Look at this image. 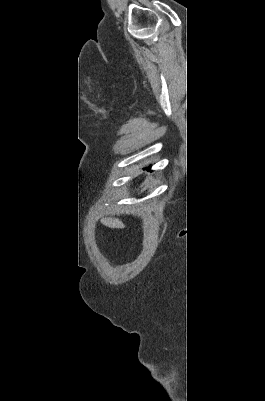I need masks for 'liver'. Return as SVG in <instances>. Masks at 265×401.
Segmentation results:
<instances>
[{"mask_svg": "<svg viewBox=\"0 0 265 401\" xmlns=\"http://www.w3.org/2000/svg\"><path fill=\"white\" fill-rule=\"evenodd\" d=\"M103 223H106L108 227H113V229H124L125 227L120 219H103Z\"/></svg>", "mask_w": 265, "mask_h": 401, "instance_id": "6515ba94", "label": "liver"}]
</instances>
